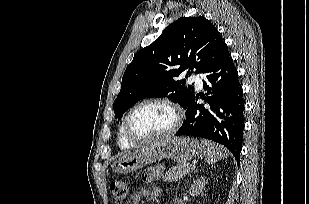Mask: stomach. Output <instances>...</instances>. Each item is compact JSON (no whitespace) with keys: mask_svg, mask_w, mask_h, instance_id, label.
I'll return each instance as SVG.
<instances>
[{"mask_svg":"<svg viewBox=\"0 0 309 204\" xmlns=\"http://www.w3.org/2000/svg\"><path fill=\"white\" fill-rule=\"evenodd\" d=\"M201 151L202 147L197 139L167 137L118 158L112 167L116 173L127 174L162 159L183 163L197 157Z\"/></svg>","mask_w":309,"mask_h":204,"instance_id":"1","label":"stomach"}]
</instances>
